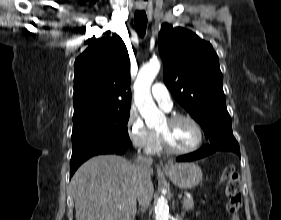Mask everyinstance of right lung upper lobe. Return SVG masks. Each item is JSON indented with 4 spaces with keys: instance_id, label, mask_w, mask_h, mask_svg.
I'll list each match as a JSON object with an SVG mask.
<instances>
[{
    "instance_id": "right-lung-upper-lobe-1",
    "label": "right lung upper lobe",
    "mask_w": 281,
    "mask_h": 220,
    "mask_svg": "<svg viewBox=\"0 0 281 220\" xmlns=\"http://www.w3.org/2000/svg\"><path fill=\"white\" fill-rule=\"evenodd\" d=\"M74 68L73 118L130 109V61L119 36L92 42Z\"/></svg>"
}]
</instances>
